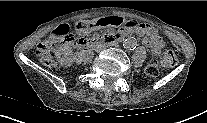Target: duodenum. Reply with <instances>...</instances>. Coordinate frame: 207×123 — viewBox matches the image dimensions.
I'll return each instance as SVG.
<instances>
[{
  "label": "duodenum",
  "instance_id": "duodenum-1",
  "mask_svg": "<svg viewBox=\"0 0 207 123\" xmlns=\"http://www.w3.org/2000/svg\"><path fill=\"white\" fill-rule=\"evenodd\" d=\"M127 33L128 32H123V33H119L116 35H106L102 38H92V39L87 40L83 45L85 48L90 49L100 43L116 44V43H119Z\"/></svg>",
  "mask_w": 207,
  "mask_h": 123
}]
</instances>
